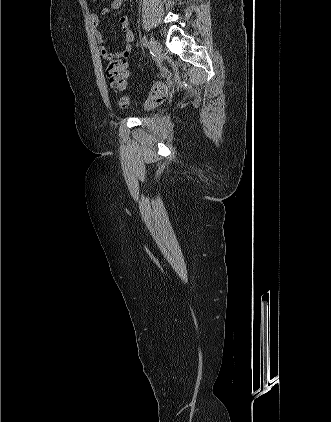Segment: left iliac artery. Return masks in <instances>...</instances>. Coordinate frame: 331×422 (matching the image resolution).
Segmentation results:
<instances>
[{
  "label": "left iliac artery",
  "instance_id": "44dca946",
  "mask_svg": "<svg viewBox=\"0 0 331 422\" xmlns=\"http://www.w3.org/2000/svg\"><path fill=\"white\" fill-rule=\"evenodd\" d=\"M142 45L144 46V47H147V45H148V41H147V37L144 35L143 36V38H142Z\"/></svg>",
  "mask_w": 331,
  "mask_h": 422
}]
</instances>
